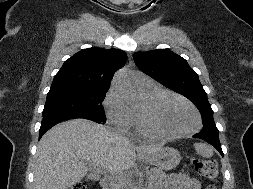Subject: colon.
Here are the masks:
<instances>
[{"label": "colon", "instance_id": "5ec220e1", "mask_svg": "<svg viewBox=\"0 0 253 189\" xmlns=\"http://www.w3.org/2000/svg\"><path fill=\"white\" fill-rule=\"evenodd\" d=\"M193 166L200 176L210 182L207 189H216L215 183L218 178V166L216 162L209 159L194 158ZM70 189H87V187L84 183H77Z\"/></svg>", "mask_w": 253, "mask_h": 189}]
</instances>
